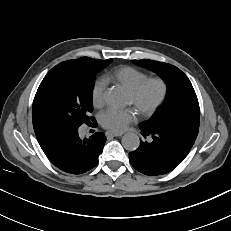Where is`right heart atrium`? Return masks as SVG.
Returning a JSON list of instances; mask_svg holds the SVG:
<instances>
[{"instance_id":"obj_1","label":"right heart atrium","mask_w":231,"mask_h":231,"mask_svg":"<svg viewBox=\"0 0 231 231\" xmlns=\"http://www.w3.org/2000/svg\"><path fill=\"white\" fill-rule=\"evenodd\" d=\"M105 90V80L99 79L93 84L91 89V101L95 107H101L104 104Z\"/></svg>"}]
</instances>
